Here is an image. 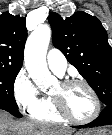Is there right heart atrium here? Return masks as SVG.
I'll return each instance as SVG.
<instances>
[{
	"label": "right heart atrium",
	"mask_w": 112,
	"mask_h": 135,
	"mask_svg": "<svg viewBox=\"0 0 112 135\" xmlns=\"http://www.w3.org/2000/svg\"><path fill=\"white\" fill-rule=\"evenodd\" d=\"M13 95L18 107L30 114L41 108L46 101V96L24 71L19 72L14 80Z\"/></svg>",
	"instance_id": "right-heart-atrium-1"
}]
</instances>
